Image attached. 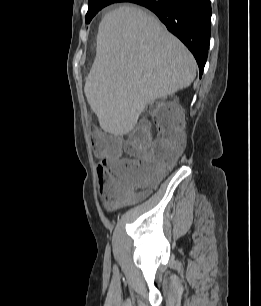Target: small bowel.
I'll return each instance as SVG.
<instances>
[{"label":"small bowel","mask_w":261,"mask_h":306,"mask_svg":"<svg viewBox=\"0 0 261 306\" xmlns=\"http://www.w3.org/2000/svg\"><path fill=\"white\" fill-rule=\"evenodd\" d=\"M121 159H124V157H120ZM112 162L110 160V158H104L101 162H100V166L104 167L105 169H108L111 166Z\"/></svg>","instance_id":"c3829d8e"}]
</instances>
